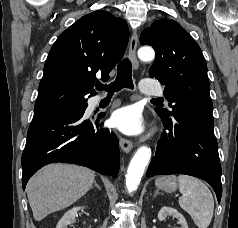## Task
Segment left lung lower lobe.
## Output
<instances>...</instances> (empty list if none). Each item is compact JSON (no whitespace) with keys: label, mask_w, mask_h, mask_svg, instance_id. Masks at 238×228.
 Wrapping results in <instances>:
<instances>
[{"label":"left lung lower lobe","mask_w":238,"mask_h":228,"mask_svg":"<svg viewBox=\"0 0 238 228\" xmlns=\"http://www.w3.org/2000/svg\"><path fill=\"white\" fill-rule=\"evenodd\" d=\"M162 121L166 130L146 176L186 174L201 178L213 187L220 202L221 165L213 122L182 115Z\"/></svg>","instance_id":"0a47b994"}]
</instances>
